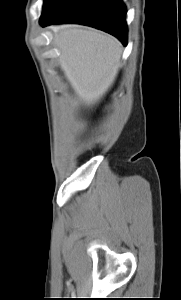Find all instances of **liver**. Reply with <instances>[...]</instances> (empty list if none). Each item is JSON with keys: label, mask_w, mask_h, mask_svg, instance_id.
<instances>
[{"label": "liver", "mask_w": 181, "mask_h": 300, "mask_svg": "<svg viewBox=\"0 0 181 300\" xmlns=\"http://www.w3.org/2000/svg\"><path fill=\"white\" fill-rule=\"evenodd\" d=\"M59 66L80 103H97L113 85L121 66L122 47L111 35L76 25L53 31Z\"/></svg>", "instance_id": "6515ba94"}]
</instances>
